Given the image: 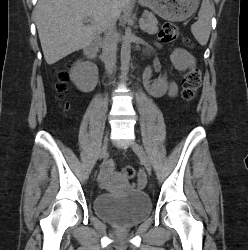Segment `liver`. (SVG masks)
Here are the masks:
<instances>
[{"mask_svg": "<svg viewBox=\"0 0 248 250\" xmlns=\"http://www.w3.org/2000/svg\"><path fill=\"white\" fill-rule=\"evenodd\" d=\"M128 0H38L36 26L47 64L88 46L109 16L121 15ZM91 18V24L84 20Z\"/></svg>", "mask_w": 248, "mask_h": 250, "instance_id": "obj_1", "label": "liver"}]
</instances>
